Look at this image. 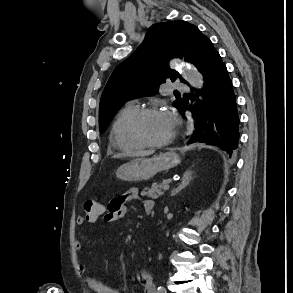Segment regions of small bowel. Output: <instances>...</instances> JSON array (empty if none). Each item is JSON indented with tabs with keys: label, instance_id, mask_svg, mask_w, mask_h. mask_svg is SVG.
<instances>
[{
	"label": "small bowel",
	"instance_id": "obj_1",
	"mask_svg": "<svg viewBox=\"0 0 293 293\" xmlns=\"http://www.w3.org/2000/svg\"><path fill=\"white\" fill-rule=\"evenodd\" d=\"M140 198L139 190L136 188L129 189L122 195H119L110 200L107 205L106 211L104 212V220L109 223H115L122 221L127 214V202L136 200ZM153 201L152 200H144L143 208L146 212L148 209L153 211ZM77 224L82 225L83 219H77ZM75 247L78 251L83 250V244L81 241H77ZM79 271L82 274H85L88 271V267L85 264H80ZM139 282L143 288V293H155L156 288L153 282L152 274L148 271H141L138 275ZM88 286L95 293H122L121 290L109 287L102 283L97 282L95 279L87 278Z\"/></svg>",
	"mask_w": 293,
	"mask_h": 293
}]
</instances>
